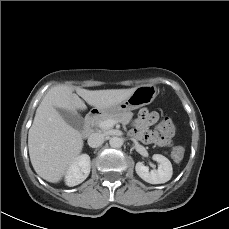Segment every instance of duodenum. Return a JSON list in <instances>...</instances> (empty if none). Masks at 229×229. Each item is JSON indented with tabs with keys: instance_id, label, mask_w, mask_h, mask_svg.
Here are the masks:
<instances>
[{
	"instance_id": "obj_1",
	"label": "duodenum",
	"mask_w": 229,
	"mask_h": 229,
	"mask_svg": "<svg viewBox=\"0 0 229 229\" xmlns=\"http://www.w3.org/2000/svg\"><path fill=\"white\" fill-rule=\"evenodd\" d=\"M99 118V114L97 113H89L86 115L84 120V129H83V137L87 138L94 132V123Z\"/></svg>"
}]
</instances>
